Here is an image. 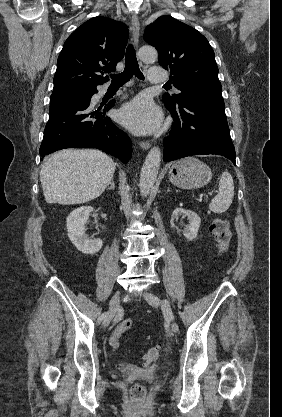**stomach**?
Instances as JSON below:
<instances>
[{"mask_svg":"<svg viewBox=\"0 0 282 417\" xmlns=\"http://www.w3.org/2000/svg\"><path fill=\"white\" fill-rule=\"evenodd\" d=\"M168 176L172 184L178 188H200L210 182L212 172L208 164L202 160H198L194 156H186V158L171 164Z\"/></svg>","mask_w":282,"mask_h":417,"instance_id":"obj_1","label":"stomach"}]
</instances>
